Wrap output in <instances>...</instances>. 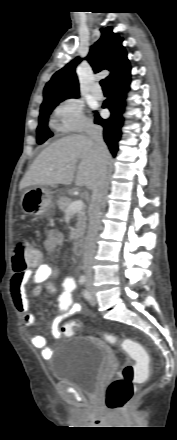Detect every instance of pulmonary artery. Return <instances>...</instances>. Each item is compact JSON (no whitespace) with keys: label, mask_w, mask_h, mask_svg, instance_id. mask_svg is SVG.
I'll use <instances>...</instances> for the list:
<instances>
[{"label":"pulmonary artery","mask_w":177,"mask_h":440,"mask_svg":"<svg viewBox=\"0 0 177 440\" xmlns=\"http://www.w3.org/2000/svg\"><path fill=\"white\" fill-rule=\"evenodd\" d=\"M92 96L97 99L100 100L103 98V93L101 92V90L99 89V87H96L92 90Z\"/></svg>","instance_id":"pulmonary-artery-1"}]
</instances>
